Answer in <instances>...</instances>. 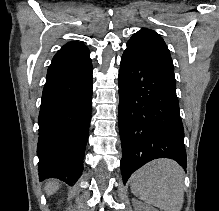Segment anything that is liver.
Returning a JSON list of instances; mask_svg holds the SVG:
<instances>
[{
    "label": "liver",
    "mask_w": 219,
    "mask_h": 211,
    "mask_svg": "<svg viewBox=\"0 0 219 211\" xmlns=\"http://www.w3.org/2000/svg\"><path fill=\"white\" fill-rule=\"evenodd\" d=\"M46 193L47 195H52L54 191H57L59 189V183L58 181H55V179H49L45 185Z\"/></svg>",
    "instance_id": "6515ba94"
}]
</instances>
